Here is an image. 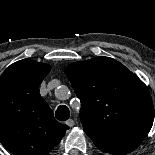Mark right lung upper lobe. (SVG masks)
Here are the masks:
<instances>
[{
    "instance_id": "obj_1",
    "label": "right lung upper lobe",
    "mask_w": 155,
    "mask_h": 155,
    "mask_svg": "<svg viewBox=\"0 0 155 155\" xmlns=\"http://www.w3.org/2000/svg\"><path fill=\"white\" fill-rule=\"evenodd\" d=\"M50 69V65L23 59L0 77V142L14 155H46L68 129L55 120L39 93Z\"/></svg>"
}]
</instances>
